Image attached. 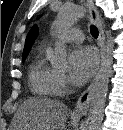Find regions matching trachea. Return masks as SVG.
<instances>
[{
    "mask_svg": "<svg viewBox=\"0 0 123 130\" xmlns=\"http://www.w3.org/2000/svg\"><path fill=\"white\" fill-rule=\"evenodd\" d=\"M90 32L94 38L98 37V29L94 25L90 26Z\"/></svg>",
    "mask_w": 123,
    "mask_h": 130,
    "instance_id": "trachea-1",
    "label": "trachea"
}]
</instances>
